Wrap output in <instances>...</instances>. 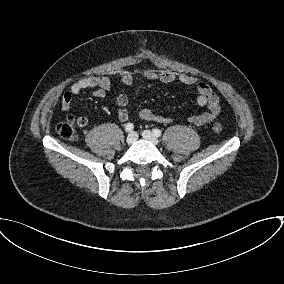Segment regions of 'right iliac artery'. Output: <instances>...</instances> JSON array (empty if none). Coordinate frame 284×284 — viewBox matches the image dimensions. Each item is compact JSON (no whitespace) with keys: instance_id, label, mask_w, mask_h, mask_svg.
<instances>
[{"instance_id":"obj_1","label":"right iliac artery","mask_w":284,"mask_h":284,"mask_svg":"<svg viewBox=\"0 0 284 284\" xmlns=\"http://www.w3.org/2000/svg\"><path fill=\"white\" fill-rule=\"evenodd\" d=\"M133 128H134V125H133L132 123H128V124H126V126H125V130H126L127 132H131V131L133 130Z\"/></svg>"}]
</instances>
